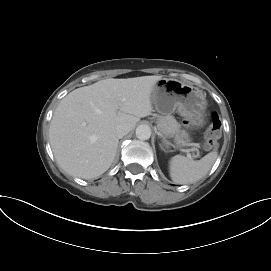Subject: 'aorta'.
I'll list each match as a JSON object with an SVG mask.
<instances>
[{"instance_id":"aorta-1","label":"aorta","mask_w":271,"mask_h":271,"mask_svg":"<svg viewBox=\"0 0 271 271\" xmlns=\"http://www.w3.org/2000/svg\"><path fill=\"white\" fill-rule=\"evenodd\" d=\"M136 137L140 140H148L151 137V129L148 125H139L136 128Z\"/></svg>"}]
</instances>
